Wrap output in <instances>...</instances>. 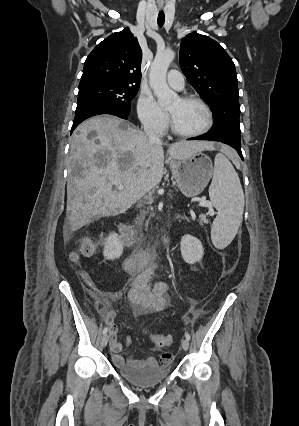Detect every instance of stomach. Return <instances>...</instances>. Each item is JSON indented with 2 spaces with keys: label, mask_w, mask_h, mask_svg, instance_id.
<instances>
[{
  "label": "stomach",
  "mask_w": 299,
  "mask_h": 426,
  "mask_svg": "<svg viewBox=\"0 0 299 426\" xmlns=\"http://www.w3.org/2000/svg\"><path fill=\"white\" fill-rule=\"evenodd\" d=\"M170 167L180 191L186 197L199 195L213 174L212 162L202 152H197L186 159H172Z\"/></svg>",
  "instance_id": "1"
}]
</instances>
